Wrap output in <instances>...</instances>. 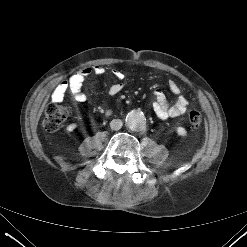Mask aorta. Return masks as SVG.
I'll list each match as a JSON object with an SVG mask.
<instances>
[{
    "label": "aorta",
    "mask_w": 247,
    "mask_h": 247,
    "mask_svg": "<svg viewBox=\"0 0 247 247\" xmlns=\"http://www.w3.org/2000/svg\"><path fill=\"white\" fill-rule=\"evenodd\" d=\"M126 124L131 130H141L145 126V116L141 111L132 110L126 116Z\"/></svg>",
    "instance_id": "aorta-1"
}]
</instances>
